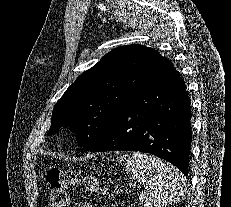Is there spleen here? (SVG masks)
<instances>
[{
    "label": "spleen",
    "instance_id": "1",
    "mask_svg": "<svg viewBox=\"0 0 231 207\" xmlns=\"http://www.w3.org/2000/svg\"><path fill=\"white\" fill-rule=\"evenodd\" d=\"M133 178L144 184L139 200L145 207H165L184 196L186 179L168 163L142 152L118 158Z\"/></svg>",
    "mask_w": 231,
    "mask_h": 207
}]
</instances>
